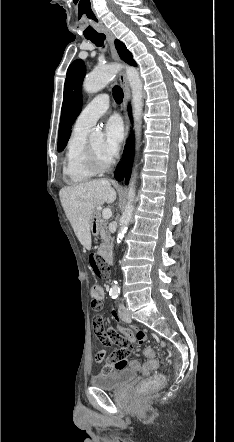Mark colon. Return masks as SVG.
<instances>
[{
  "label": "colon",
  "instance_id": "obj_1",
  "mask_svg": "<svg viewBox=\"0 0 234 442\" xmlns=\"http://www.w3.org/2000/svg\"><path fill=\"white\" fill-rule=\"evenodd\" d=\"M89 263L94 274L101 279H108L110 275L109 265L98 255H91ZM104 292L99 285H93L91 288V307L94 310H100L103 306ZM103 322V320H102ZM98 337V334L95 333ZM109 345V344H104ZM129 350H122L120 347L116 349L110 356L106 363L107 369H121L127 368L128 372H141L143 375H149L157 370L159 363L156 360V351L152 346L145 345L142 349V354L147 358L145 363L132 359L128 356ZM102 357V355H100ZM166 379L163 375L157 374L147 380H140L139 387L142 391H149L153 389H164Z\"/></svg>",
  "mask_w": 234,
  "mask_h": 442
}]
</instances>
